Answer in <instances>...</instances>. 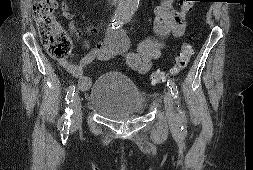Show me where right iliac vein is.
Returning <instances> with one entry per match:
<instances>
[{"label": "right iliac vein", "mask_w": 253, "mask_h": 170, "mask_svg": "<svg viewBox=\"0 0 253 170\" xmlns=\"http://www.w3.org/2000/svg\"><path fill=\"white\" fill-rule=\"evenodd\" d=\"M72 126H78L82 120V104L78 94H75L72 101Z\"/></svg>", "instance_id": "63e3f726"}]
</instances>
